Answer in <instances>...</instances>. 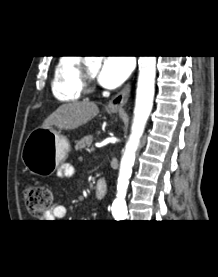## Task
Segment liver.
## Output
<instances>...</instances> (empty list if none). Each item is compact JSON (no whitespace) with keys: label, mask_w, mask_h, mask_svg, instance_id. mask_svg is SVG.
Listing matches in <instances>:
<instances>
[{"label":"liver","mask_w":218,"mask_h":277,"mask_svg":"<svg viewBox=\"0 0 218 277\" xmlns=\"http://www.w3.org/2000/svg\"><path fill=\"white\" fill-rule=\"evenodd\" d=\"M98 113V106L92 102L65 103L44 120L41 128L56 126L60 129L74 130L89 122Z\"/></svg>","instance_id":"1"}]
</instances>
